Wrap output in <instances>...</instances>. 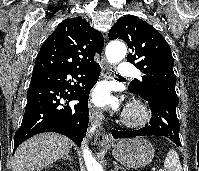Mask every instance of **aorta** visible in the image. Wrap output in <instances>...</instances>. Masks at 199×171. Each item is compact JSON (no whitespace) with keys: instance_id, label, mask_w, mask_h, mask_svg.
<instances>
[{"instance_id":"1","label":"aorta","mask_w":199,"mask_h":171,"mask_svg":"<svg viewBox=\"0 0 199 171\" xmlns=\"http://www.w3.org/2000/svg\"><path fill=\"white\" fill-rule=\"evenodd\" d=\"M127 49L124 43L120 41H112L106 47V57L109 63L117 64L119 63L126 55ZM96 126L93 125L89 133L95 131ZM83 157L87 171H103L102 166L93 158L91 152L88 148L84 147Z\"/></svg>"}]
</instances>
